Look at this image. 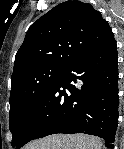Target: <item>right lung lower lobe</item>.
I'll list each match as a JSON object with an SVG mask.
<instances>
[{"label": "right lung lower lobe", "instance_id": "right-lung-lower-lobe-1", "mask_svg": "<svg viewBox=\"0 0 124 149\" xmlns=\"http://www.w3.org/2000/svg\"><path fill=\"white\" fill-rule=\"evenodd\" d=\"M77 80L83 82L81 90L73 84ZM118 105V56L113 38L62 69L15 147L57 133H85L103 138L112 149Z\"/></svg>", "mask_w": 124, "mask_h": 149}]
</instances>
